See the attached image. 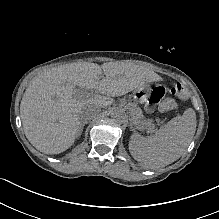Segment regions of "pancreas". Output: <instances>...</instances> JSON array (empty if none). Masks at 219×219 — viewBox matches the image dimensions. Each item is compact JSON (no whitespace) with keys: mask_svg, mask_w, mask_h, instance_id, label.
<instances>
[{"mask_svg":"<svg viewBox=\"0 0 219 219\" xmlns=\"http://www.w3.org/2000/svg\"><path fill=\"white\" fill-rule=\"evenodd\" d=\"M131 119L135 125H143L145 130H150L153 127L152 120H143L142 111L138 107L131 109Z\"/></svg>","mask_w":219,"mask_h":219,"instance_id":"obj_1","label":"pancreas"}]
</instances>
